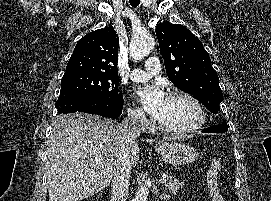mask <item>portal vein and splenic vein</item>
Masks as SVG:
<instances>
[{
  "label": "portal vein and splenic vein",
  "mask_w": 271,
  "mask_h": 201,
  "mask_svg": "<svg viewBox=\"0 0 271 201\" xmlns=\"http://www.w3.org/2000/svg\"><path fill=\"white\" fill-rule=\"evenodd\" d=\"M160 182H161V183H166V178H164V177L161 178V179H160Z\"/></svg>",
  "instance_id": "portal-vein-and-splenic-vein-1"
}]
</instances>
